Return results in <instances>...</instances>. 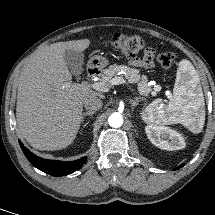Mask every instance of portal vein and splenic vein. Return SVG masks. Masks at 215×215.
<instances>
[{"mask_svg":"<svg viewBox=\"0 0 215 215\" xmlns=\"http://www.w3.org/2000/svg\"><path fill=\"white\" fill-rule=\"evenodd\" d=\"M119 84H125L129 87V89L134 92V89L129 86L128 82L122 78V77H114L111 81V85H119ZM84 86H88V85H84ZM91 87L93 89H95L96 91H100V92H108L109 91V85H106L103 82H94L93 84H91Z\"/></svg>","mask_w":215,"mask_h":215,"instance_id":"1","label":"portal vein and splenic vein"}]
</instances>
